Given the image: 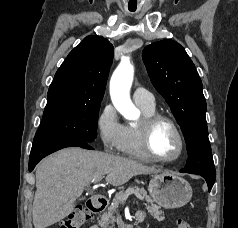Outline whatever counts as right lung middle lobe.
Returning <instances> with one entry per match:
<instances>
[{
  "label": "right lung middle lobe",
  "mask_w": 238,
  "mask_h": 228,
  "mask_svg": "<svg viewBox=\"0 0 238 228\" xmlns=\"http://www.w3.org/2000/svg\"><path fill=\"white\" fill-rule=\"evenodd\" d=\"M100 105L62 108L43 115L34 142L77 139L93 142Z\"/></svg>",
  "instance_id": "obj_1"
}]
</instances>
